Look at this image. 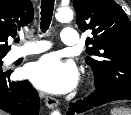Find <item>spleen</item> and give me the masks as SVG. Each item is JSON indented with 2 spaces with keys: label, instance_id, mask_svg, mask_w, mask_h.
<instances>
[{
  "label": "spleen",
  "instance_id": "1",
  "mask_svg": "<svg viewBox=\"0 0 131 115\" xmlns=\"http://www.w3.org/2000/svg\"><path fill=\"white\" fill-rule=\"evenodd\" d=\"M111 115H131V109L128 108H113L110 112Z\"/></svg>",
  "mask_w": 131,
  "mask_h": 115
}]
</instances>
